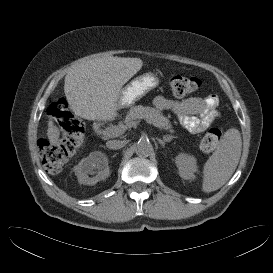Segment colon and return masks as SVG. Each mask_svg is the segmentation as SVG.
I'll list each match as a JSON object with an SVG mask.
<instances>
[{
  "mask_svg": "<svg viewBox=\"0 0 273 273\" xmlns=\"http://www.w3.org/2000/svg\"><path fill=\"white\" fill-rule=\"evenodd\" d=\"M201 83L198 78L181 75L171 76L167 80V86L175 97H185L197 91ZM49 114L58 120L66 131L67 137L57 143L41 141L39 153L46 169L51 173H59L64 168L69 158L79 150L85 137L83 123L68 111L65 99H59L48 110ZM223 136L220 128H211L201 142V148L205 152H211L218 147Z\"/></svg>",
  "mask_w": 273,
  "mask_h": 273,
  "instance_id": "1",
  "label": "colon"
}]
</instances>
